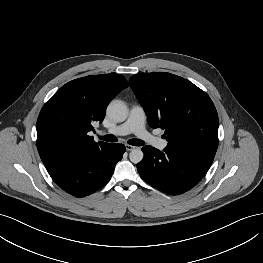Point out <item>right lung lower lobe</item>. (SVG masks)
Wrapping results in <instances>:
<instances>
[{"instance_id": "right-lung-lower-lobe-1", "label": "right lung lower lobe", "mask_w": 263, "mask_h": 263, "mask_svg": "<svg viewBox=\"0 0 263 263\" xmlns=\"http://www.w3.org/2000/svg\"><path fill=\"white\" fill-rule=\"evenodd\" d=\"M125 150L123 144L107 143L83 153L51 177L60 188L73 196L90 195L109 182Z\"/></svg>"}]
</instances>
